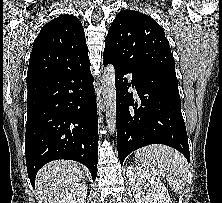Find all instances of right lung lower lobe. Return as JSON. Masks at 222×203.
I'll use <instances>...</instances> for the list:
<instances>
[{
  "mask_svg": "<svg viewBox=\"0 0 222 203\" xmlns=\"http://www.w3.org/2000/svg\"><path fill=\"white\" fill-rule=\"evenodd\" d=\"M25 153L32 186L38 170L57 160L84 164L97 176L98 123L90 66L27 81Z\"/></svg>",
  "mask_w": 222,
  "mask_h": 203,
  "instance_id": "right-lung-lower-lobe-1",
  "label": "right lung lower lobe"
}]
</instances>
